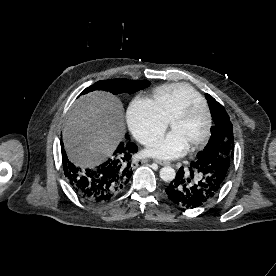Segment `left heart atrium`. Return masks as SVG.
<instances>
[{
	"instance_id": "obj_1",
	"label": "left heart atrium",
	"mask_w": 276,
	"mask_h": 276,
	"mask_svg": "<svg viewBox=\"0 0 276 276\" xmlns=\"http://www.w3.org/2000/svg\"><path fill=\"white\" fill-rule=\"evenodd\" d=\"M189 146L181 135L172 130L165 136L152 142L146 149V153L154 158L162 160L177 159L187 153Z\"/></svg>"
}]
</instances>
